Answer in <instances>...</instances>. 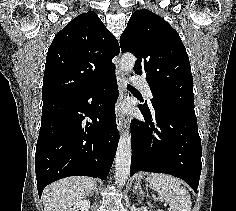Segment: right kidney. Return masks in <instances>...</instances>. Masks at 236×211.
I'll list each match as a JSON object with an SVG mask.
<instances>
[{
	"mask_svg": "<svg viewBox=\"0 0 236 211\" xmlns=\"http://www.w3.org/2000/svg\"><path fill=\"white\" fill-rule=\"evenodd\" d=\"M90 208L89 200H81L76 203L73 208H70L68 211H88Z\"/></svg>",
	"mask_w": 236,
	"mask_h": 211,
	"instance_id": "obj_1",
	"label": "right kidney"
}]
</instances>
